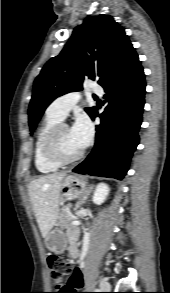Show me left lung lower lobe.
Segmentation results:
<instances>
[{
    "mask_svg": "<svg viewBox=\"0 0 170 293\" xmlns=\"http://www.w3.org/2000/svg\"><path fill=\"white\" fill-rule=\"evenodd\" d=\"M101 86L109 104L102 114L98 115L96 110L92 116V119L99 116L102 122L96 126L94 149L72 171L121 180L139 143L146 86L143 68L133 47Z\"/></svg>",
    "mask_w": 170,
    "mask_h": 293,
    "instance_id": "left-lung-lower-lobe-1",
    "label": "left lung lower lobe"
}]
</instances>
